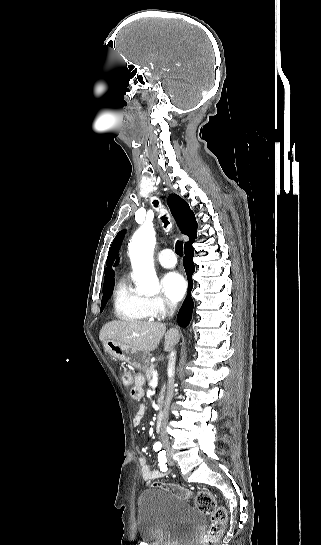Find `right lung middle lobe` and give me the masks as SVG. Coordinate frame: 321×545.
Wrapping results in <instances>:
<instances>
[{"label":"right lung middle lobe","mask_w":321,"mask_h":545,"mask_svg":"<svg viewBox=\"0 0 321 545\" xmlns=\"http://www.w3.org/2000/svg\"><path fill=\"white\" fill-rule=\"evenodd\" d=\"M113 287L114 286H111L109 288H106V289H103V297H102V304H101V312L103 311L111 293H112V290H113Z\"/></svg>","instance_id":"right-lung-middle-lobe-1"}]
</instances>
